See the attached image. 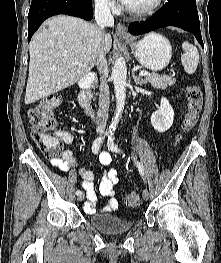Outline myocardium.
<instances>
[{
  "instance_id": "f54148a6",
  "label": "myocardium",
  "mask_w": 221,
  "mask_h": 263,
  "mask_svg": "<svg viewBox=\"0 0 221 263\" xmlns=\"http://www.w3.org/2000/svg\"><path fill=\"white\" fill-rule=\"evenodd\" d=\"M162 3H163V0H156L152 5L146 8H141V9L132 8L128 6L126 3H124V8L131 15L147 16L157 11L161 7Z\"/></svg>"
}]
</instances>
